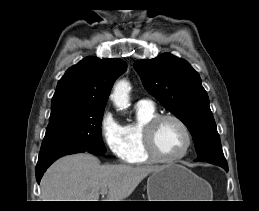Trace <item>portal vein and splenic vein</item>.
Here are the masks:
<instances>
[{"label": "portal vein and splenic vein", "instance_id": "portal-vein-and-splenic-vein-1", "mask_svg": "<svg viewBox=\"0 0 259 211\" xmlns=\"http://www.w3.org/2000/svg\"><path fill=\"white\" fill-rule=\"evenodd\" d=\"M100 194H101L102 196L106 195V194H107V190H102V191L100 192Z\"/></svg>", "mask_w": 259, "mask_h": 211}]
</instances>
